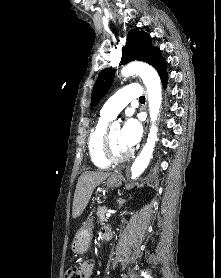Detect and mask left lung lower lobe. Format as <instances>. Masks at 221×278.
I'll list each match as a JSON object with an SVG mask.
<instances>
[{
	"label": "left lung lower lobe",
	"instance_id": "1",
	"mask_svg": "<svg viewBox=\"0 0 221 278\" xmlns=\"http://www.w3.org/2000/svg\"><path fill=\"white\" fill-rule=\"evenodd\" d=\"M159 75H160V78H161V81L163 83V86L165 87L166 84H167V72H166V65L161 68L159 71H158Z\"/></svg>",
	"mask_w": 221,
	"mask_h": 278
}]
</instances>
